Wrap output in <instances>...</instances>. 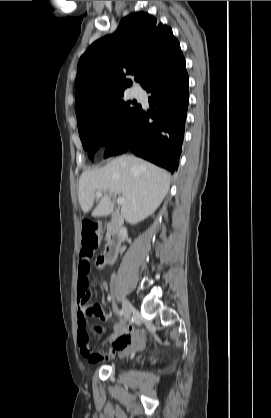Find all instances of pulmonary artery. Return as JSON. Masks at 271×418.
I'll use <instances>...</instances> for the list:
<instances>
[{
    "label": "pulmonary artery",
    "mask_w": 271,
    "mask_h": 418,
    "mask_svg": "<svg viewBox=\"0 0 271 418\" xmlns=\"http://www.w3.org/2000/svg\"><path fill=\"white\" fill-rule=\"evenodd\" d=\"M133 95L136 96V97L139 96L140 95V91L137 90V89L133 90Z\"/></svg>",
    "instance_id": "obj_1"
}]
</instances>
